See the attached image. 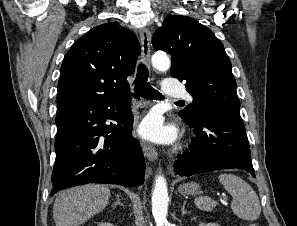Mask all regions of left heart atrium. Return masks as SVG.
Here are the masks:
<instances>
[{
  "label": "left heart atrium",
  "mask_w": 297,
  "mask_h": 226,
  "mask_svg": "<svg viewBox=\"0 0 297 226\" xmlns=\"http://www.w3.org/2000/svg\"><path fill=\"white\" fill-rule=\"evenodd\" d=\"M140 133L150 140L161 142H169L174 138L173 129L163 126L160 118L156 115H150L143 121Z\"/></svg>",
  "instance_id": "obj_1"
}]
</instances>
